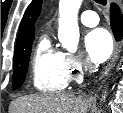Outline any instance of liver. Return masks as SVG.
I'll use <instances>...</instances> for the list:
<instances>
[{"instance_id": "obj_1", "label": "liver", "mask_w": 123, "mask_h": 113, "mask_svg": "<svg viewBox=\"0 0 123 113\" xmlns=\"http://www.w3.org/2000/svg\"><path fill=\"white\" fill-rule=\"evenodd\" d=\"M90 106L89 99L72 93L41 94L16 99L12 113H87Z\"/></svg>"}]
</instances>
